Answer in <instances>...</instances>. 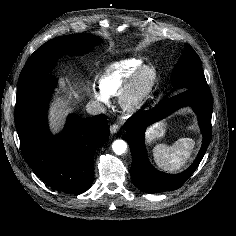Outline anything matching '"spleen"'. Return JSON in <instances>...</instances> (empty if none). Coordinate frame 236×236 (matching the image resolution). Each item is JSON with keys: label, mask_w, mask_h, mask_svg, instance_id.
<instances>
[{"label": "spleen", "mask_w": 236, "mask_h": 236, "mask_svg": "<svg viewBox=\"0 0 236 236\" xmlns=\"http://www.w3.org/2000/svg\"><path fill=\"white\" fill-rule=\"evenodd\" d=\"M195 142L190 138H180L172 146L158 144L153 149V159L163 171L180 170L190 159Z\"/></svg>", "instance_id": "3e777b00"}]
</instances>
